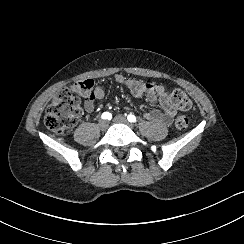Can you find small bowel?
<instances>
[{"mask_svg":"<svg viewBox=\"0 0 244 244\" xmlns=\"http://www.w3.org/2000/svg\"><path fill=\"white\" fill-rule=\"evenodd\" d=\"M115 79L119 84L125 86L133 97H145L149 105L160 106L161 109H152L144 113V117L147 120L162 125H169L172 122L176 110L167 97L165 86L155 82L126 78L122 74H117ZM104 97V88L101 85H97L93 94L84 102L85 111L92 113L95 110V101L102 100Z\"/></svg>","mask_w":244,"mask_h":244,"instance_id":"small-bowel-1","label":"small bowel"}]
</instances>
